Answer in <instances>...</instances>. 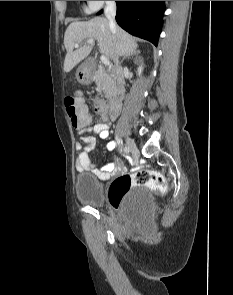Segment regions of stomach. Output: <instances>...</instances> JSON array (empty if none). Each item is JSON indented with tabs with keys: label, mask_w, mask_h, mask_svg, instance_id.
Segmentation results:
<instances>
[{
	"label": "stomach",
	"mask_w": 233,
	"mask_h": 295,
	"mask_svg": "<svg viewBox=\"0 0 233 295\" xmlns=\"http://www.w3.org/2000/svg\"><path fill=\"white\" fill-rule=\"evenodd\" d=\"M76 78L80 83L87 84L92 80L93 75L87 65L82 64L76 72Z\"/></svg>",
	"instance_id": "obj_1"
}]
</instances>
